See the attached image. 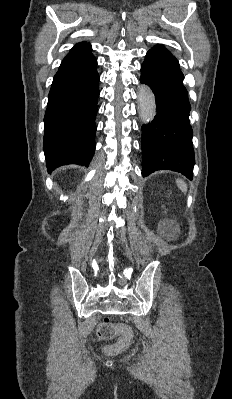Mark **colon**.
Returning <instances> with one entry per match:
<instances>
[{
  "label": "colon",
  "mask_w": 232,
  "mask_h": 399,
  "mask_svg": "<svg viewBox=\"0 0 232 399\" xmlns=\"http://www.w3.org/2000/svg\"><path fill=\"white\" fill-rule=\"evenodd\" d=\"M128 323L125 321H100L96 337H101V341H115L120 328H125Z\"/></svg>",
  "instance_id": "colon-1"
}]
</instances>
